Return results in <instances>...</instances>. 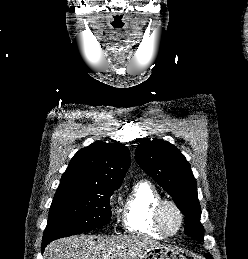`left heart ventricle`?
Returning <instances> with one entry per match:
<instances>
[{
  "mask_svg": "<svg viewBox=\"0 0 248 259\" xmlns=\"http://www.w3.org/2000/svg\"><path fill=\"white\" fill-rule=\"evenodd\" d=\"M163 222L169 232H175L179 227V216L172 207H166L163 211Z\"/></svg>",
  "mask_w": 248,
  "mask_h": 259,
  "instance_id": "left-heart-ventricle-1",
  "label": "left heart ventricle"
}]
</instances>
